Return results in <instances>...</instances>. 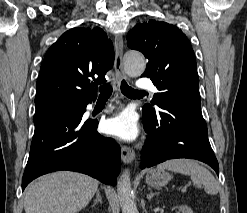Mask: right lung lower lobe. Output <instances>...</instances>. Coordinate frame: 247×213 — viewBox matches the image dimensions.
I'll return each instance as SVG.
<instances>
[{"mask_svg":"<svg viewBox=\"0 0 247 213\" xmlns=\"http://www.w3.org/2000/svg\"><path fill=\"white\" fill-rule=\"evenodd\" d=\"M94 100L56 99L35 113V131L22 179V190L35 178L53 171L85 173L105 184L116 185L121 169L120 146L97 132V121H82L86 105ZM56 102L79 106V115L59 113Z\"/></svg>","mask_w":247,"mask_h":213,"instance_id":"obj_1","label":"right lung lower lobe"}]
</instances>
